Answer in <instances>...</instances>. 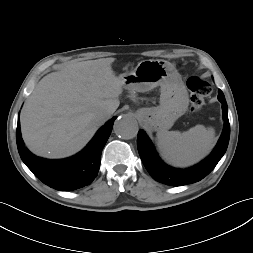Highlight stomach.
<instances>
[{
	"label": "stomach",
	"mask_w": 253,
	"mask_h": 253,
	"mask_svg": "<svg viewBox=\"0 0 253 253\" xmlns=\"http://www.w3.org/2000/svg\"><path fill=\"white\" fill-rule=\"evenodd\" d=\"M119 77L130 91L147 92L160 86V105L138 111L142 123L151 130L167 131L188 109L186 87L175 66L168 61L142 60L131 72Z\"/></svg>",
	"instance_id": "0dacf381"
}]
</instances>
